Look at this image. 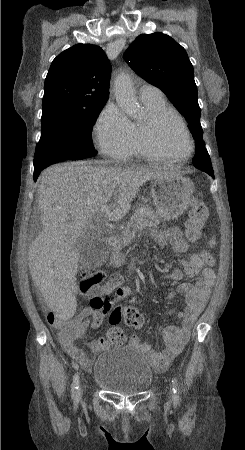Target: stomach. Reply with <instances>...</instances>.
Returning <instances> with one entry per match:
<instances>
[{"mask_svg": "<svg viewBox=\"0 0 245 450\" xmlns=\"http://www.w3.org/2000/svg\"><path fill=\"white\" fill-rule=\"evenodd\" d=\"M194 192L193 182L181 174H165L151 180V194L157 215L163 220L176 219L188 208ZM116 264H122L124 258L114 253L112 257Z\"/></svg>", "mask_w": 245, "mask_h": 450, "instance_id": "obj_1", "label": "stomach"}]
</instances>
